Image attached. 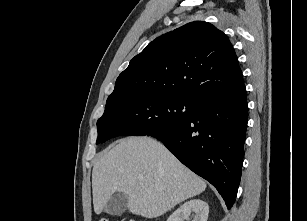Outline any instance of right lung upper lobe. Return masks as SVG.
Segmentation results:
<instances>
[{
    "mask_svg": "<svg viewBox=\"0 0 307 221\" xmlns=\"http://www.w3.org/2000/svg\"><path fill=\"white\" fill-rule=\"evenodd\" d=\"M243 88L228 37L210 23L195 21L156 38L136 55L117 78L106 104L143 94L199 103Z\"/></svg>",
    "mask_w": 307,
    "mask_h": 221,
    "instance_id": "right-lung-upper-lobe-1",
    "label": "right lung upper lobe"
}]
</instances>
